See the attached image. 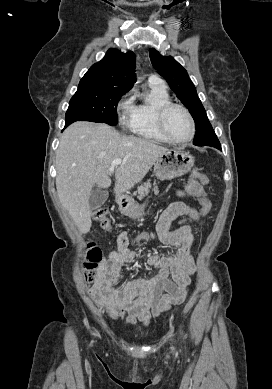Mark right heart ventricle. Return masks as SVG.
I'll list each match as a JSON object with an SVG mask.
<instances>
[{
	"label": "right heart ventricle",
	"instance_id": "e07e8e85",
	"mask_svg": "<svg viewBox=\"0 0 272 389\" xmlns=\"http://www.w3.org/2000/svg\"><path fill=\"white\" fill-rule=\"evenodd\" d=\"M169 102L171 97L165 86L149 84L143 100L130 110L128 129L144 139L167 142L158 129L157 112L162 105Z\"/></svg>",
	"mask_w": 272,
	"mask_h": 389
}]
</instances>
